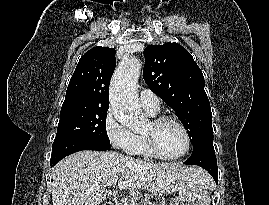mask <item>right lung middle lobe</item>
Here are the masks:
<instances>
[{
    "instance_id": "dd1d6c3e",
    "label": "right lung middle lobe",
    "mask_w": 269,
    "mask_h": 205,
    "mask_svg": "<svg viewBox=\"0 0 269 205\" xmlns=\"http://www.w3.org/2000/svg\"><path fill=\"white\" fill-rule=\"evenodd\" d=\"M109 106L69 105L61 108L55 141L80 138L110 144L106 131Z\"/></svg>"
}]
</instances>
